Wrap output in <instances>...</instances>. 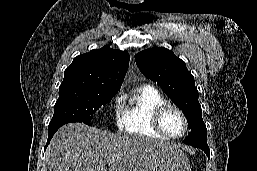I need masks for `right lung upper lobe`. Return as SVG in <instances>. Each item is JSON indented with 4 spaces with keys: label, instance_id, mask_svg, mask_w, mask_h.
I'll return each instance as SVG.
<instances>
[{
    "label": "right lung upper lobe",
    "instance_id": "1",
    "mask_svg": "<svg viewBox=\"0 0 257 171\" xmlns=\"http://www.w3.org/2000/svg\"><path fill=\"white\" fill-rule=\"evenodd\" d=\"M129 55L104 46L73 59L60 87L87 86L118 91L129 66Z\"/></svg>",
    "mask_w": 257,
    "mask_h": 171
}]
</instances>
